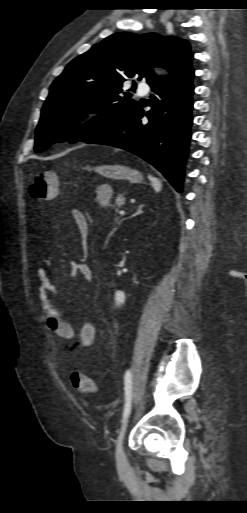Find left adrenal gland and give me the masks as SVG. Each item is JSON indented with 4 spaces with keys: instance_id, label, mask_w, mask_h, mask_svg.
Here are the masks:
<instances>
[{
    "instance_id": "1",
    "label": "left adrenal gland",
    "mask_w": 247,
    "mask_h": 513,
    "mask_svg": "<svg viewBox=\"0 0 247 513\" xmlns=\"http://www.w3.org/2000/svg\"><path fill=\"white\" fill-rule=\"evenodd\" d=\"M143 207H144V205H139V206L137 207L136 212H135V213H134L130 218H132V217H134V216H136V215L142 214V213H143V211H142V208H143ZM124 220H127V218H122V219H120V220L117 222L118 227L122 224V222H123Z\"/></svg>"
}]
</instances>
